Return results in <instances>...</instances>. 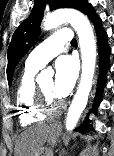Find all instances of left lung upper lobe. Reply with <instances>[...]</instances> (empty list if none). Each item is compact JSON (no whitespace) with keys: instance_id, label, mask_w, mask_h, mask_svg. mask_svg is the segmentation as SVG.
Returning <instances> with one entry per match:
<instances>
[{"instance_id":"1","label":"left lung upper lobe","mask_w":114,"mask_h":156,"mask_svg":"<svg viewBox=\"0 0 114 156\" xmlns=\"http://www.w3.org/2000/svg\"><path fill=\"white\" fill-rule=\"evenodd\" d=\"M47 2L51 10L69 7L78 9L85 14L91 7L86 0H34V7L30 16L14 32L8 47L7 77L9 84L12 82L15 66L40 34V22Z\"/></svg>"}]
</instances>
